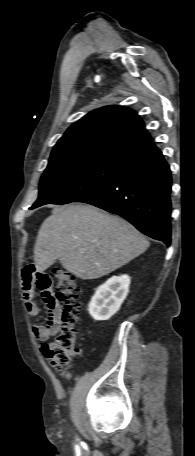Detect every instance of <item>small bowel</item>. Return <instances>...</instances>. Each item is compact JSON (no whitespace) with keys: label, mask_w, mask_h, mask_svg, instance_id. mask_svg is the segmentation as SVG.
I'll list each match as a JSON object with an SVG mask.
<instances>
[{"label":"small bowel","mask_w":195,"mask_h":456,"mask_svg":"<svg viewBox=\"0 0 195 456\" xmlns=\"http://www.w3.org/2000/svg\"><path fill=\"white\" fill-rule=\"evenodd\" d=\"M35 287L42 292L49 316L46 325H38L33 328V334L37 339L46 341L59 330V307L52 292L50 276L36 270L34 264H27L22 272V288L26 310L30 316H37L40 313V308L32 297Z\"/></svg>","instance_id":"1"}]
</instances>
